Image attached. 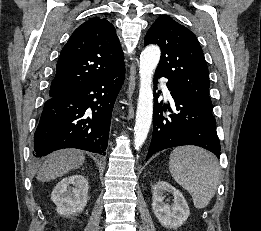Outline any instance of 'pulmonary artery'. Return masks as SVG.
I'll return each mask as SVG.
<instances>
[{"instance_id": "1", "label": "pulmonary artery", "mask_w": 261, "mask_h": 231, "mask_svg": "<svg viewBox=\"0 0 261 231\" xmlns=\"http://www.w3.org/2000/svg\"><path fill=\"white\" fill-rule=\"evenodd\" d=\"M160 85L164 91V94L168 97V98H171V95H170V92H169V89L167 88L166 86V83L164 82L163 79L160 80Z\"/></svg>"}]
</instances>
